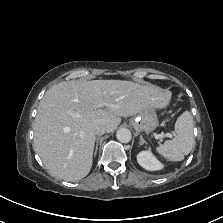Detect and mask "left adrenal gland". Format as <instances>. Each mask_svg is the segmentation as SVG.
Wrapping results in <instances>:
<instances>
[{
    "instance_id": "1",
    "label": "left adrenal gland",
    "mask_w": 223,
    "mask_h": 223,
    "mask_svg": "<svg viewBox=\"0 0 223 223\" xmlns=\"http://www.w3.org/2000/svg\"><path fill=\"white\" fill-rule=\"evenodd\" d=\"M140 144L141 145L146 144V141L144 140L142 135H140Z\"/></svg>"
}]
</instances>
